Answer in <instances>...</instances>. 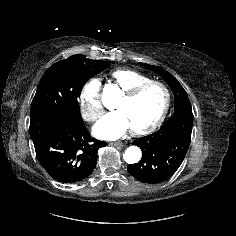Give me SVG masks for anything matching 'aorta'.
Instances as JSON below:
<instances>
[{
  "label": "aorta",
  "mask_w": 236,
  "mask_h": 236,
  "mask_svg": "<svg viewBox=\"0 0 236 236\" xmlns=\"http://www.w3.org/2000/svg\"><path fill=\"white\" fill-rule=\"evenodd\" d=\"M113 92V89H106L103 94V99L112 95ZM123 159L128 164L137 163L141 159V150L137 146H130L123 154Z\"/></svg>",
  "instance_id": "1"
}]
</instances>
